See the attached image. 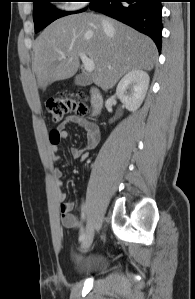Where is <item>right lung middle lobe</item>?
I'll use <instances>...</instances> for the list:
<instances>
[{"instance_id": "obj_1", "label": "right lung middle lobe", "mask_w": 195, "mask_h": 299, "mask_svg": "<svg viewBox=\"0 0 195 299\" xmlns=\"http://www.w3.org/2000/svg\"><path fill=\"white\" fill-rule=\"evenodd\" d=\"M34 5L33 19L35 24V32H39L54 20L69 15L75 12L60 11L53 7L50 2L51 0H32ZM91 2L93 0H90Z\"/></svg>"}]
</instances>
